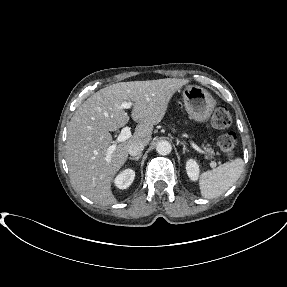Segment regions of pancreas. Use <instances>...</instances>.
Returning a JSON list of instances; mask_svg holds the SVG:
<instances>
[{"mask_svg": "<svg viewBox=\"0 0 287 287\" xmlns=\"http://www.w3.org/2000/svg\"><path fill=\"white\" fill-rule=\"evenodd\" d=\"M206 151H207L210 155H212V154L214 153L211 148H207Z\"/></svg>", "mask_w": 287, "mask_h": 287, "instance_id": "pancreas-1", "label": "pancreas"}]
</instances>
